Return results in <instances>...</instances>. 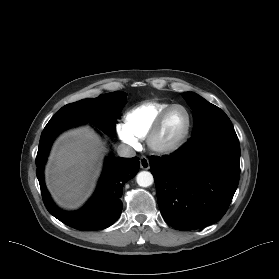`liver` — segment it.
Returning a JSON list of instances; mask_svg holds the SVG:
<instances>
[{"mask_svg": "<svg viewBox=\"0 0 279 279\" xmlns=\"http://www.w3.org/2000/svg\"><path fill=\"white\" fill-rule=\"evenodd\" d=\"M105 152L104 144L89 126L59 136L45 177L47 188L61 207L76 209L86 201L95 186Z\"/></svg>", "mask_w": 279, "mask_h": 279, "instance_id": "liver-1", "label": "liver"}]
</instances>
